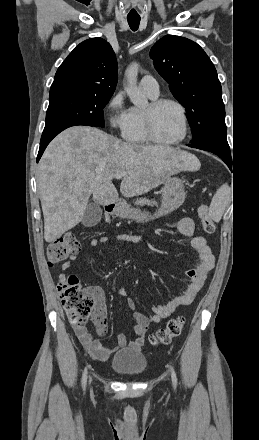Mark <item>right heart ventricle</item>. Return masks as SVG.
<instances>
[{
	"label": "right heart ventricle",
	"mask_w": 259,
	"mask_h": 440,
	"mask_svg": "<svg viewBox=\"0 0 259 440\" xmlns=\"http://www.w3.org/2000/svg\"><path fill=\"white\" fill-rule=\"evenodd\" d=\"M151 97V96H150ZM156 98V97H151ZM126 141L132 144H148L150 142L144 126L143 111L133 107L130 109V124L123 134Z\"/></svg>",
	"instance_id": "e07e8e85"
}]
</instances>
